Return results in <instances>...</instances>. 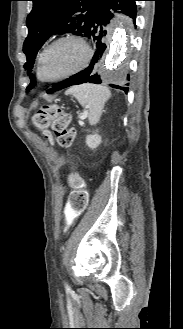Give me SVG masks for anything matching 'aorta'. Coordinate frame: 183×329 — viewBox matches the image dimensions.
<instances>
[{"mask_svg": "<svg viewBox=\"0 0 183 329\" xmlns=\"http://www.w3.org/2000/svg\"><path fill=\"white\" fill-rule=\"evenodd\" d=\"M126 33L127 27L122 22H119L116 25V30L111 43L110 55L108 56L106 63V76L109 79H117L121 77L118 71L126 49Z\"/></svg>", "mask_w": 183, "mask_h": 329, "instance_id": "aorta-1", "label": "aorta"}]
</instances>
